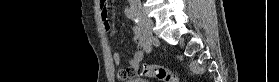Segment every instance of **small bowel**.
Instances as JSON below:
<instances>
[{
  "label": "small bowel",
  "instance_id": "c3829d8e",
  "mask_svg": "<svg viewBox=\"0 0 279 82\" xmlns=\"http://www.w3.org/2000/svg\"><path fill=\"white\" fill-rule=\"evenodd\" d=\"M99 7L101 9V18L103 27L105 30L111 29V23L108 19V12H107V1L106 0H100L99 1ZM132 34H133V41L135 42L137 46V50L134 52L129 66L125 69L119 70V78L125 79L132 76H135L137 74V71L140 68L141 62L144 59L145 56V48H146V41L144 40L141 30L139 27L134 26L132 28ZM113 62L118 65L121 62V54L119 52H115L113 54Z\"/></svg>",
  "mask_w": 279,
  "mask_h": 82
}]
</instances>
